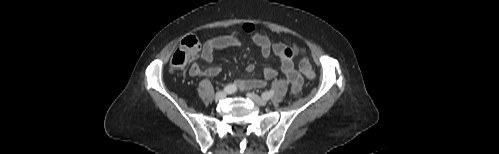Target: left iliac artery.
<instances>
[{"mask_svg": "<svg viewBox=\"0 0 499 154\" xmlns=\"http://www.w3.org/2000/svg\"><path fill=\"white\" fill-rule=\"evenodd\" d=\"M274 95V90L267 91L262 94L264 99H270Z\"/></svg>", "mask_w": 499, "mask_h": 154, "instance_id": "left-iliac-artery-1", "label": "left iliac artery"}]
</instances>
